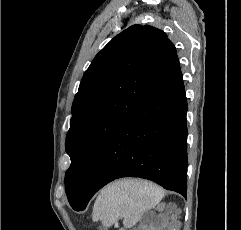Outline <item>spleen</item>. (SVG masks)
Segmentation results:
<instances>
[{
    "instance_id": "1",
    "label": "spleen",
    "mask_w": 241,
    "mask_h": 230,
    "mask_svg": "<svg viewBox=\"0 0 241 230\" xmlns=\"http://www.w3.org/2000/svg\"><path fill=\"white\" fill-rule=\"evenodd\" d=\"M164 197L158 185L138 179H122L103 188L93 207V221L107 229L123 218L124 228L133 227L149 209Z\"/></svg>"
}]
</instances>
